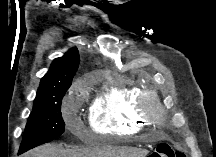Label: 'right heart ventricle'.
<instances>
[{
    "label": "right heart ventricle",
    "mask_w": 216,
    "mask_h": 157,
    "mask_svg": "<svg viewBox=\"0 0 216 157\" xmlns=\"http://www.w3.org/2000/svg\"><path fill=\"white\" fill-rule=\"evenodd\" d=\"M141 92L123 80L106 83L89 111L91 129L102 135H129L145 128L147 120L137 110Z\"/></svg>",
    "instance_id": "e07e8e85"
}]
</instances>
